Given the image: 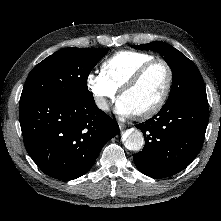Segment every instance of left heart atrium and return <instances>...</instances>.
I'll return each mask as SVG.
<instances>
[{
	"mask_svg": "<svg viewBox=\"0 0 221 221\" xmlns=\"http://www.w3.org/2000/svg\"><path fill=\"white\" fill-rule=\"evenodd\" d=\"M116 112L124 117H128L134 114L130 107L121 99H119L117 102Z\"/></svg>",
	"mask_w": 221,
	"mask_h": 221,
	"instance_id": "left-heart-atrium-1",
	"label": "left heart atrium"
}]
</instances>
